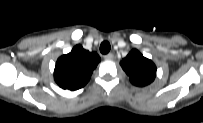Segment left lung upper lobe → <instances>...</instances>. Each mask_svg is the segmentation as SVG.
I'll use <instances>...</instances> for the list:
<instances>
[{
  "mask_svg": "<svg viewBox=\"0 0 203 123\" xmlns=\"http://www.w3.org/2000/svg\"><path fill=\"white\" fill-rule=\"evenodd\" d=\"M123 70L130 77L132 84L136 86H146L150 84L156 76L155 64L145 58L138 50L133 49L120 63Z\"/></svg>",
  "mask_w": 203,
  "mask_h": 123,
  "instance_id": "1",
  "label": "left lung upper lobe"
}]
</instances>
